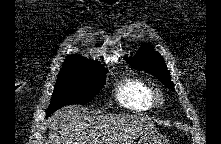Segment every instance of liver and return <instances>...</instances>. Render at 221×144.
<instances>
[{
    "label": "liver",
    "mask_w": 221,
    "mask_h": 144,
    "mask_svg": "<svg viewBox=\"0 0 221 144\" xmlns=\"http://www.w3.org/2000/svg\"><path fill=\"white\" fill-rule=\"evenodd\" d=\"M48 144H133L155 130L154 122L132 114L88 116L85 108L66 106L49 119Z\"/></svg>",
    "instance_id": "6515ba94"
}]
</instances>
